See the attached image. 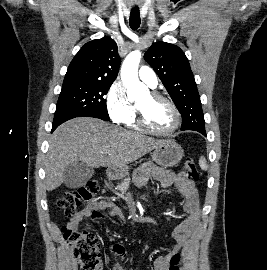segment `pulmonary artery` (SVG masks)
Wrapping results in <instances>:
<instances>
[{
    "label": "pulmonary artery",
    "mask_w": 267,
    "mask_h": 270,
    "mask_svg": "<svg viewBox=\"0 0 267 270\" xmlns=\"http://www.w3.org/2000/svg\"><path fill=\"white\" fill-rule=\"evenodd\" d=\"M139 78L151 88L157 86V76L155 72L148 66H142L138 72Z\"/></svg>",
    "instance_id": "obj_1"
}]
</instances>
